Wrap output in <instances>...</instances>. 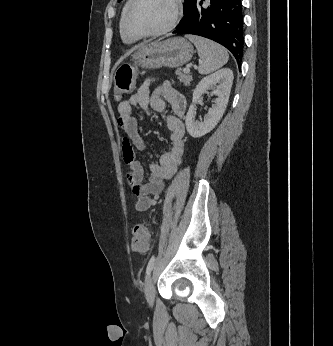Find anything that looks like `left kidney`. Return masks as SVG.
Returning <instances> with one entry per match:
<instances>
[{
    "mask_svg": "<svg viewBox=\"0 0 333 346\" xmlns=\"http://www.w3.org/2000/svg\"><path fill=\"white\" fill-rule=\"evenodd\" d=\"M233 78L232 70L229 68H223L207 77H204L198 83L193 92L192 104L189 107L185 121L190 136L193 138L202 137L213 130L218 124L225 112L229 100ZM208 89H212V93L217 96L215 99V105L208 110V114L204 117V121H195L194 103Z\"/></svg>",
    "mask_w": 333,
    "mask_h": 346,
    "instance_id": "left-kidney-1",
    "label": "left kidney"
}]
</instances>
